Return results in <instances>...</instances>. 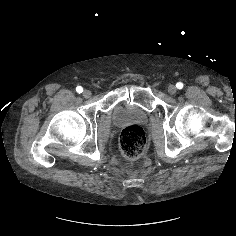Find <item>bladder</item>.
Masks as SVG:
<instances>
[{
	"mask_svg": "<svg viewBox=\"0 0 236 236\" xmlns=\"http://www.w3.org/2000/svg\"><path fill=\"white\" fill-rule=\"evenodd\" d=\"M139 111L136 108H129L125 106H118L114 110V117L117 121H125L130 117H138Z\"/></svg>",
	"mask_w": 236,
	"mask_h": 236,
	"instance_id": "bladder-1",
	"label": "bladder"
}]
</instances>
